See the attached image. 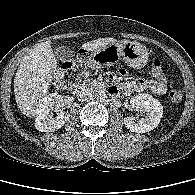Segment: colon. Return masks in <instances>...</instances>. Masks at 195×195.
I'll list each match as a JSON object with an SVG mask.
<instances>
[{
    "label": "colon",
    "instance_id": "colon-1",
    "mask_svg": "<svg viewBox=\"0 0 195 195\" xmlns=\"http://www.w3.org/2000/svg\"><path fill=\"white\" fill-rule=\"evenodd\" d=\"M87 72V55L82 53L76 61L65 63L56 74V82L60 86H73ZM152 74L158 81H166L167 77L162 69V61L156 57L152 62ZM170 98L174 102H180L183 94L179 89H172L170 91Z\"/></svg>",
    "mask_w": 195,
    "mask_h": 195
}]
</instances>
